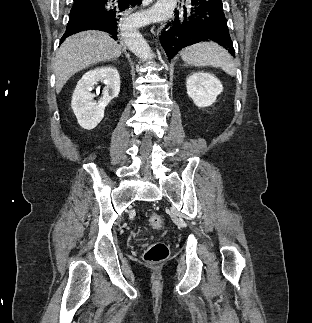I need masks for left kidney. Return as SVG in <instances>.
<instances>
[{
  "instance_id": "obj_1",
  "label": "left kidney",
  "mask_w": 312,
  "mask_h": 323,
  "mask_svg": "<svg viewBox=\"0 0 312 323\" xmlns=\"http://www.w3.org/2000/svg\"><path fill=\"white\" fill-rule=\"evenodd\" d=\"M186 84L187 94L198 108L211 106L223 90L220 80L215 78L213 74H206V72L191 74L187 78Z\"/></svg>"
}]
</instances>
